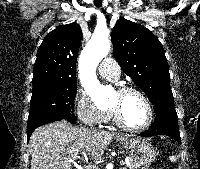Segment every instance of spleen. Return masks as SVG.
<instances>
[{
    "instance_id": "3e777b00",
    "label": "spleen",
    "mask_w": 200,
    "mask_h": 169,
    "mask_svg": "<svg viewBox=\"0 0 200 169\" xmlns=\"http://www.w3.org/2000/svg\"><path fill=\"white\" fill-rule=\"evenodd\" d=\"M170 160H171V162H175L176 161V157L175 156H171Z\"/></svg>"
}]
</instances>
